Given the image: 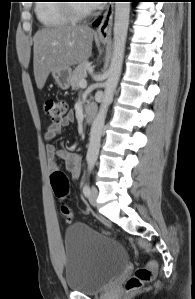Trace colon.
<instances>
[{
	"mask_svg": "<svg viewBox=\"0 0 195 299\" xmlns=\"http://www.w3.org/2000/svg\"><path fill=\"white\" fill-rule=\"evenodd\" d=\"M44 109L53 122H59L66 116L68 105L62 100H48L45 102ZM50 177L55 195L64 198L69 190L68 177L59 169L54 170ZM61 214L68 222L73 221V212L67 205L63 204L61 206ZM155 271L156 263L154 261H149L146 265L137 267L127 282V289L130 291L137 290L150 283L155 277Z\"/></svg>",
	"mask_w": 195,
	"mask_h": 299,
	"instance_id": "colon-1",
	"label": "colon"
}]
</instances>
